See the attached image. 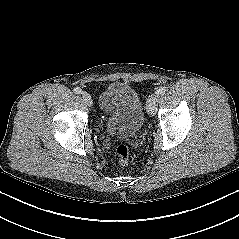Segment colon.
Wrapping results in <instances>:
<instances>
[{"instance_id": "obj_1", "label": "colon", "mask_w": 239, "mask_h": 239, "mask_svg": "<svg viewBox=\"0 0 239 239\" xmlns=\"http://www.w3.org/2000/svg\"><path fill=\"white\" fill-rule=\"evenodd\" d=\"M115 153L121 165H126L128 163L130 158V149L126 144H118L116 146Z\"/></svg>"}]
</instances>
